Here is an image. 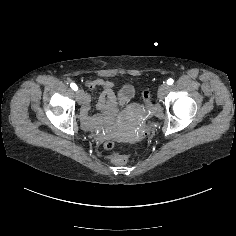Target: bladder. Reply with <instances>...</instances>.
I'll list each match as a JSON object with an SVG mask.
<instances>
[{
	"mask_svg": "<svg viewBox=\"0 0 236 236\" xmlns=\"http://www.w3.org/2000/svg\"><path fill=\"white\" fill-rule=\"evenodd\" d=\"M136 94L135 86L133 84H124L118 91V97L123 100H131Z\"/></svg>",
	"mask_w": 236,
	"mask_h": 236,
	"instance_id": "1",
	"label": "bladder"
}]
</instances>
